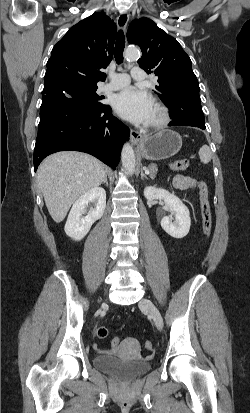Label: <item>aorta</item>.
<instances>
[{
	"mask_svg": "<svg viewBox=\"0 0 250 413\" xmlns=\"http://www.w3.org/2000/svg\"><path fill=\"white\" fill-rule=\"evenodd\" d=\"M140 57V52L137 48L129 47L125 50V58L128 61H135ZM122 165L125 171L132 175L135 170V154L130 144H125L121 153Z\"/></svg>",
	"mask_w": 250,
	"mask_h": 413,
	"instance_id": "762f6f07",
	"label": "aorta"
}]
</instances>
